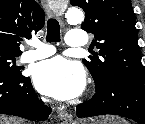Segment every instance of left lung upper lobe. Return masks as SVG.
Segmentation results:
<instances>
[{"instance_id":"1","label":"left lung upper lobe","mask_w":145,"mask_h":124,"mask_svg":"<svg viewBox=\"0 0 145 124\" xmlns=\"http://www.w3.org/2000/svg\"><path fill=\"white\" fill-rule=\"evenodd\" d=\"M85 11L81 29L94 34L93 45L100 58L89 56L83 63L95 81L96 90L115 78L144 82L135 15L130 0H70Z\"/></svg>"}]
</instances>
